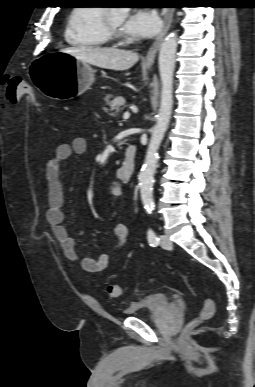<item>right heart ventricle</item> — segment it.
<instances>
[{
	"instance_id": "obj_1",
	"label": "right heart ventricle",
	"mask_w": 255,
	"mask_h": 387,
	"mask_svg": "<svg viewBox=\"0 0 255 387\" xmlns=\"http://www.w3.org/2000/svg\"><path fill=\"white\" fill-rule=\"evenodd\" d=\"M104 8L78 6L68 15L64 37L68 44L79 48H96L109 42L102 27Z\"/></svg>"
}]
</instances>
